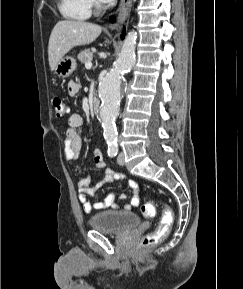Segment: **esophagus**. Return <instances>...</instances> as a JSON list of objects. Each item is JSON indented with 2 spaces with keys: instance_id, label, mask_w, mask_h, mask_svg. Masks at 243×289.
I'll use <instances>...</instances> for the list:
<instances>
[{
  "instance_id": "1",
  "label": "esophagus",
  "mask_w": 243,
  "mask_h": 289,
  "mask_svg": "<svg viewBox=\"0 0 243 289\" xmlns=\"http://www.w3.org/2000/svg\"><path fill=\"white\" fill-rule=\"evenodd\" d=\"M132 6V0H121L117 9V23L111 24V29H116L118 24L123 23L125 19L129 16Z\"/></svg>"
}]
</instances>
